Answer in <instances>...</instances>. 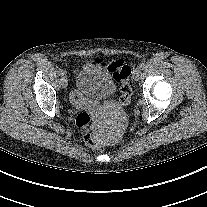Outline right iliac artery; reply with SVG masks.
Masks as SVG:
<instances>
[{"label": "right iliac artery", "mask_w": 207, "mask_h": 207, "mask_svg": "<svg viewBox=\"0 0 207 207\" xmlns=\"http://www.w3.org/2000/svg\"><path fill=\"white\" fill-rule=\"evenodd\" d=\"M59 74L61 75V76H63V75H65V71L63 70V69H59Z\"/></svg>", "instance_id": "1"}]
</instances>
